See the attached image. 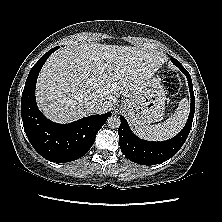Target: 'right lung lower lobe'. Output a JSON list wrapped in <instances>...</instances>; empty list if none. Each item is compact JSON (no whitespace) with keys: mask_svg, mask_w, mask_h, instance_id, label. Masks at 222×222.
<instances>
[{"mask_svg":"<svg viewBox=\"0 0 222 222\" xmlns=\"http://www.w3.org/2000/svg\"><path fill=\"white\" fill-rule=\"evenodd\" d=\"M58 49L52 48L32 67L21 99V116L25 133L33 148L52 162H70L85 155L95 141L110 112L92 115L69 124L48 120L38 109L35 86L38 74L47 58Z\"/></svg>","mask_w":222,"mask_h":222,"instance_id":"right-lung-lower-lobe-1","label":"right lung lower lobe"}]
</instances>
